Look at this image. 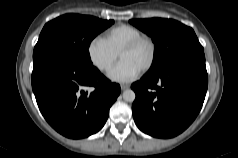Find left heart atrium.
<instances>
[{"instance_id":"obj_1","label":"left heart atrium","mask_w":238,"mask_h":158,"mask_svg":"<svg viewBox=\"0 0 238 158\" xmlns=\"http://www.w3.org/2000/svg\"><path fill=\"white\" fill-rule=\"evenodd\" d=\"M140 68L129 61L121 60L114 66L108 76L116 82H128L133 80L140 73Z\"/></svg>"}]
</instances>
